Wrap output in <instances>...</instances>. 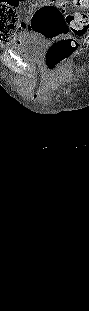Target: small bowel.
Listing matches in <instances>:
<instances>
[{
    "mask_svg": "<svg viewBox=\"0 0 89 311\" xmlns=\"http://www.w3.org/2000/svg\"><path fill=\"white\" fill-rule=\"evenodd\" d=\"M23 29H24L23 24H20L16 29L13 30L12 32L13 41L21 42L26 38L27 32H25ZM2 36H6V33H4Z\"/></svg>",
    "mask_w": 89,
    "mask_h": 311,
    "instance_id": "small-bowel-1",
    "label": "small bowel"
}]
</instances>
